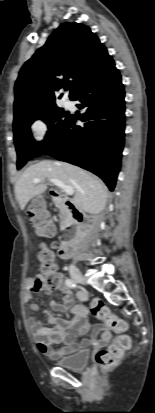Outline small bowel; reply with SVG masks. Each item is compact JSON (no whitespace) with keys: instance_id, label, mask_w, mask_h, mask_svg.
I'll return each instance as SVG.
<instances>
[{"instance_id":"obj_1","label":"small bowel","mask_w":155,"mask_h":413,"mask_svg":"<svg viewBox=\"0 0 155 413\" xmlns=\"http://www.w3.org/2000/svg\"><path fill=\"white\" fill-rule=\"evenodd\" d=\"M53 233L54 232L51 231L49 235H53ZM55 267L58 270L56 264ZM58 275L59 282L53 288L48 287L45 284L42 275L29 278L26 281L27 301L33 300L34 294L42 290L47 292L57 290L62 294V299L60 303L52 301L51 305L53 309L61 314L71 313L74 315V319L66 320L55 316L50 312H45L44 316L48 320L49 327L43 326L41 320L37 317H30L28 319V325L33 340L39 351L53 360L66 357L96 343L94 335H92L90 339H84L81 342L76 341L79 336L85 334L89 330V324L87 322L89 309L84 304H74L72 291L64 283V275L60 272H58ZM86 298L87 295L84 292H79L77 294V299L80 301H85ZM30 308L32 311L36 312L39 307L36 303H32ZM96 332H100V343L107 344L110 341L111 333L105 325H98L96 327ZM59 344H62V346L54 347Z\"/></svg>"}]
</instances>
